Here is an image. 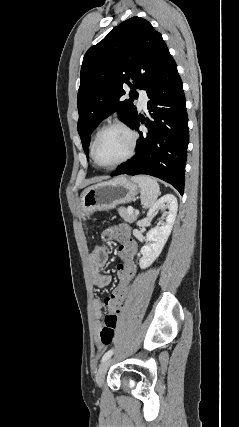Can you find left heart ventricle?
<instances>
[{
	"label": "left heart ventricle",
	"mask_w": 239,
	"mask_h": 427,
	"mask_svg": "<svg viewBox=\"0 0 239 427\" xmlns=\"http://www.w3.org/2000/svg\"><path fill=\"white\" fill-rule=\"evenodd\" d=\"M130 137L122 129L106 131L96 146V159L103 165H111L121 160L129 151Z\"/></svg>",
	"instance_id": "1"
}]
</instances>
